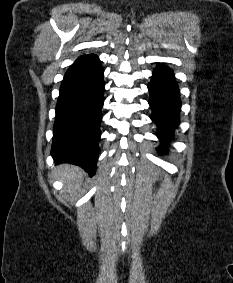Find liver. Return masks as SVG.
I'll return each mask as SVG.
<instances>
[{"instance_id":"liver-1","label":"liver","mask_w":233,"mask_h":283,"mask_svg":"<svg viewBox=\"0 0 233 283\" xmlns=\"http://www.w3.org/2000/svg\"><path fill=\"white\" fill-rule=\"evenodd\" d=\"M56 173L65 184V190L74 193L80 189L83 180V170L70 164H62L56 168Z\"/></svg>"}]
</instances>
